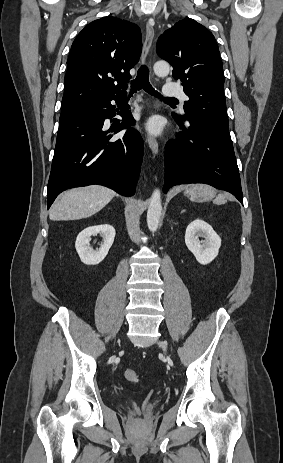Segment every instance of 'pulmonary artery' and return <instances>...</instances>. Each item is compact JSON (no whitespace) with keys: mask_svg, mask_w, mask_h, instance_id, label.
<instances>
[{"mask_svg":"<svg viewBox=\"0 0 283 463\" xmlns=\"http://www.w3.org/2000/svg\"><path fill=\"white\" fill-rule=\"evenodd\" d=\"M162 91L164 96H166L167 98H180L182 100L187 99V96L185 95L183 90L172 82L166 83L163 86Z\"/></svg>","mask_w":283,"mask_h":463,"instance_id":"e3ab8cb5","label":"pulmonary artery"}]
</instances>
